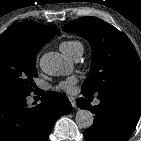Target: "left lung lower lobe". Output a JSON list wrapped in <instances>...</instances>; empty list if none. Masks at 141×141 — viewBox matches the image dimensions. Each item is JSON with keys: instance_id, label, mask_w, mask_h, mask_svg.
Returning a JSON list of instances; mask_svg holds the SVG:
<instances>
[{"instance_id": "left-lung-lower-lobe-1", "label": "left lung lower lobe", "mask_w": 141, "mask_h": 141, "mask_svg": "<svg viewBox=\"0 0 141 141\" xmlns=\"http://www.w3.org/2000/svg\"><path fill=\"white\" fill-rule=\"evenodd\" d=\"M84 96L86 91L81 90ZM100 104L91 106L84 98L77 105L95 113L93 125L84 132L87 141H127L141 114V91L105 90L98 92Z\"/></svg>"}]
</instances>
